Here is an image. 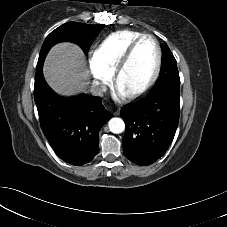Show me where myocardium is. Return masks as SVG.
Masks as SVG:
<instances>
[{
	"label": "myocardium",
	"instance_id": "obj_1",
	"mask_svg": "<svg viewBox=\"0 0 227 227\" xmlns=\"http://www.w3.org/2000/svg\"><path fill=\"white\" fill-rule=\"evenodd\" d=\"M145 38H149L155 43V46L157 49L156 67H155V70H154L153 74L151 75V77L142 86H140L128 93H124L128 98H135V97H138L141 94L145 93L156 82V80L159 77L160 71H161L163 54H162V49H161L159 41L157 40V38L155 36H153L151 34H142L130 43V45L127 47L126 51L120 58L119 62L117 63V65L113 71L114 84L116 86L118 85V80H119L121 74L123 73V71L125 70V68L127 67V65L129 64L137 45Z\"/></svg>",
	"mask_w": 227,
	"mask_h": 227
}]
</instances>
